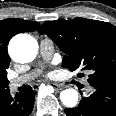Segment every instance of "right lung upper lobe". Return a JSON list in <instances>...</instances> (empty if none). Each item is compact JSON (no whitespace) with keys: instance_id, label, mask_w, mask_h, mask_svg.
I'll list each match as a JSON object with an SVG mask.
<instances>
[{"instance_id":"right-lung-upper-lobe-1","label":"right lung upper lobe","mask_w":116,"mask_h":116,"mask_svg":"<svg viewBox=\"0 0 116 116\" xmlns=\"http://www.w3.org/2000/svg\"><path fill=\"white\" fill-rule=\"evenodd\" d=\"M40 23L18 18H10L0 21V80L7 78L6 69L11 59L7 53L9 40L16 34L22 32L36 31Z\"/></svg>"}]
</instances>
